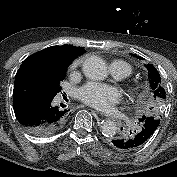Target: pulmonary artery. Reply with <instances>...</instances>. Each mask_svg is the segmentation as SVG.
I'll use <instances>...</instances> for the list:
<instances>
[{
    "label": "pulmonary artery",
    "mask_w": 177,
    "mask_h": 177,
    "mask_svg": "<svg viewBox=\"0 0 177 177\" xmlns=\"http://www.w3.org/2000/svg\"><path fill=\"white\" fill-rule=\"evenodd\" d=\"M111 71L112 74L118 79H122L129 76L127 69L120 61H115L111 64Z\"/></svg>",
    "instance_id": "e3ab8cb5"
}]
</instances>
